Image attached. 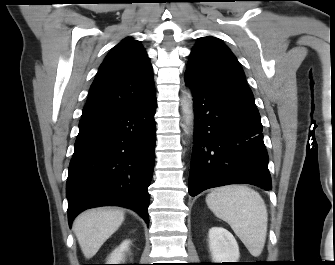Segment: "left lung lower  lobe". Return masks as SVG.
Returning <instances> with one entry per match:
<instances>
[{"instance_id": "1", "label": "left lung lower lobe", "mask_w": 335, "mask_h": 265, "mask_svg": "<svg viewBox=\"0 0 335 265\" xmlns=\"http://www.w3.org/2000/svg\"><path fill=\"white\" fill-rule=\"evenodd\" d=\"M192 89L195 131L189 194L247 183L271 190L268 154L254 103L216 89L185 72Z\"/></svg>"}]
</instances>
